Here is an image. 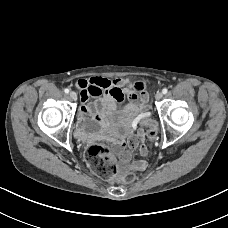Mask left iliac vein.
<instances>
[{
  "label": "left iliac vein",
  "instance_id": "left-iliac-vein-1",
  "mask_svg": "<svg viewBox=\"0 0 228 228\" xmlns=\"http://www.w3.org/2000/svg\"><path fill=\"white\" fill-rule=\"evenodd\" d=\"M162 97H163V93H162V92H159V91H158V92L156 93V95H155V99H156V100H161Z\"/></svg>",
  "mask_w": 228,
  "mask_h": 228
}]
</instances>
